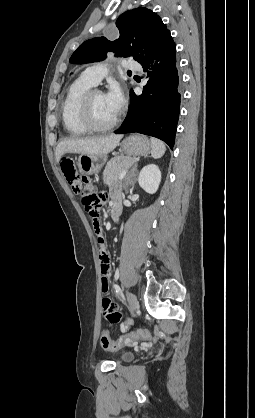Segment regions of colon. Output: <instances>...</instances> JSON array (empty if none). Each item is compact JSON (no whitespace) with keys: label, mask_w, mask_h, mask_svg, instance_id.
<instances>
[{"label":"colon","mask_w":255,"mask_h":418,"mask_svg":"<svg viewBox=\"0 0 255 418\" xmlns=\"http://www.w3.org/2000/svg\"><path fill=\"white\" fill-rule=\"evenodd\" d=\"M62 172L70 185L73 192L81 197L85 210L92 221L93 227L96 230L97 236H102L100 232V223L98 220V210L105 199L103 193H96L94 187L85 177H81L74 163L69 158H65L61 161ZM151 334L147 330H138L135 332L127 333L120 336L116 340H111L108 332H103L101 335V345L103 349L108 351H116L123 348L126 345L133 343L136 340L150 338Z\"/></svg>","instance_id":"5ec220e1"}]
</instances>
